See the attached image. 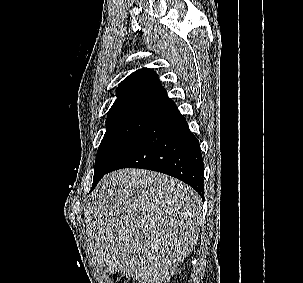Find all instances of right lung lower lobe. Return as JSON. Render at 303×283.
<instances>
[{
  "label": "right lung lower lobe",
  "instance_id": "right-lung-lower-lobe-1",
  "mask_svg": "<svg viewBox=\"0 0 303 283\" xmlns=\"http://www.w3.org/2000/svg\"><path fill=\"white\" fill-rule=\"evenodd\" d=\"M122 168H143L168 174L189 184L203 198V161L199 141L176 106L158 116L108 173Z\"/></svg>",
  "mask_w": 303,
  "mask_h": 283
}]
</instances>
